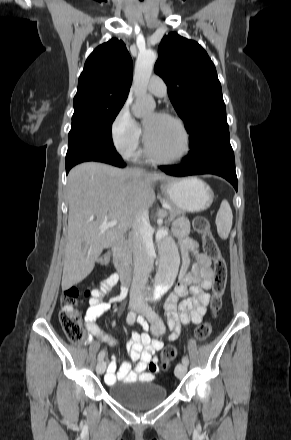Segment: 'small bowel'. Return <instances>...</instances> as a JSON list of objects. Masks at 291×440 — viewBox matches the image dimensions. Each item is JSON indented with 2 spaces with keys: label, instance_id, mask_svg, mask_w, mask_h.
<instances>
[{
  "label": "small bowel",
  "instance_id": "obj_1",
  "mask_svg": "<svg viewBox=\"0 0 291 440\" xmlns=\"http://www.w3.org/2000/svg\"><path fill=\"white\" fill-rule=\"evenodd\" d=\"M172 234L179 241L181 247V266L179 280L165 302V312L174 328L173 337L179 331V323L200 324L210 302L208 290L212 285L213 274L210 269L211 259L200 251L198 243L189 236V225L186 220H178ZM191 256L195 262L191 265ZM118 276L112 275L103 281L100 290L90 299L89 308L83 319V326L88 333V341L93 342L101 335L96 321L107 311L113 303L123 299L127 293V285L122 283L118 294L103 300L104 292L112 289L118 283ZM188 296V297H186ZM186 297L180 301V298ZM145 326V320L139 318ZM110 343L113 340L106 338ZM163 348L160 340L151 339L146 333L133 332L127 340L125 349L129 358L135 362L131 367L127 360L120 365L114 360L107 369L105 381L114 384L138 378H152L159 372L156 352Z\"/></svg>",
  "mask_w": 291,
  "mask_h": 440
}]
</instances>
